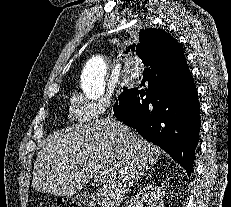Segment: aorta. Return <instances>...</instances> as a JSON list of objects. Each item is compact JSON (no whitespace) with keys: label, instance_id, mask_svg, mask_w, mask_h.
Here are the masks:
<instances>
[{"label":"aorta","instance_id":"762f6f07","mask_svg":"<svg viewBox=\"0 0 231 207\" xmlns=\"http://www.w3.org/2000/svg\"><path fill=\"white\" fill-rule=\"evenodd\" d=\"M107 65L101 56L90 58L81 76V85L86 98L96 100L104 94Z\"/></svg>","mask_w":231,"mask_h":207}]
</instances>
